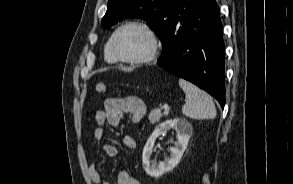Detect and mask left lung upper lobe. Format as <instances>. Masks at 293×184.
<instances>
[{"mask_svg": "<svg viewBox=\"0 0 293 184\" xmlns=\"http://www.w3.org/2000/svg\"><path fill=\"white\" fill-rule=\"evenodd\" d=\"M179 0H108L102 26L109 29L118 21L125 18H143L162 41L170 25L173 9Z\"/></svg>", "mask_w": 293, "mask_h": 184, "instance_id": "1", "label": "left lung upper lobe"}]
</instances>
